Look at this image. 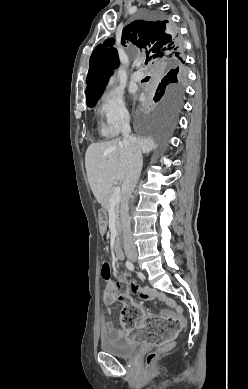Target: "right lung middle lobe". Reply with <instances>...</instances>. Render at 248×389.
I'll return each instance as SVG.
<instances>
[{
  "instance_id": "dd1d6c3e",
  "label": "right lung middle lobe",
  "mask_w": 248,
  "mask_h": 389,
  "mask_svg": "<svg viewBox=\"0 0 248 389\" xmlns=\"http://www.w3.org/2000/svg\"><path fill=\"white\" fill-rule=\"evenodd\" d=\"M148 18L156 21L161 18V14L153 11L148 14ZM185 79L186 71L180 63H174L163 69V74L154 94V101L158 102L156 112L145 122V130L153 137L160 140L166 138L167 130L174 123L183 103ZM103 90L101 89L86 98L88 107L96 105Z\"/></svg>"
}]
</instances>
